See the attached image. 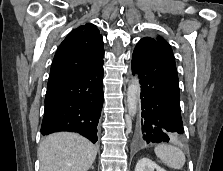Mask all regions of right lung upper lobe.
Segmentation results:
<instances>
[{
    "label": "right lung upper lobe",
    "instance_id": "cb5924a9",
    "mask_svg": "<svg viewBox=\"0 0 223 171\" xmlns=\"http://www.w3.org/2000/svg\"><path fill=\"white\" fill-rule=\"evenodd\" d=\"M103 39L95 25L74 29L59 46L48 85L81 76L103 63Z\"/></svg>",
    "mask_w": 223,
    "mask_h": 171
}]
</instances>
